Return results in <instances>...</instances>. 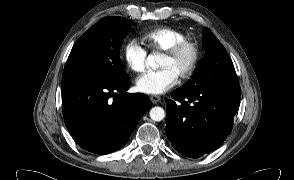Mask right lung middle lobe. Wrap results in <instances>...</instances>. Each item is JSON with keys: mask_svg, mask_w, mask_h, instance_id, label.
<instances>
[{"mask_svg": "<svg viewBox=\"0 0 294 180\" xmlns=\"http://www.w3.org/2000/svg\"><path fill=\"white\" fill-rule=\"evenodd\" d=\"M133 22L107 17L88 29L75 43L64 67L62 84L78 79H129L119 50Z\"/></svg>", "mask_w": 294, "mask_h": 180, "instance_id": "right-lung-middle-lobe-1", "label": "right lung middle lobe"}]
</instances>
